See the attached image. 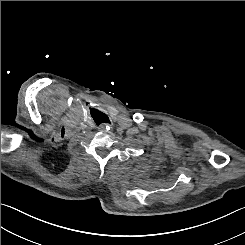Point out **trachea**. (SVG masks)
I'll use <instances>...</instances> for the list:
<instances>
[{
	"mask_svg": "<svg viewBox=\"0 0 245 245\" xmlns=\"http://www.w3.org/2000/svg\"><path fill=\"white\" fill-rule=\"evenodd\" d=\"M94 121L96 122L97 125H100L102 123H110L108 116L101 112L98 113V115H96Z\"/></svg>",
	"mask_w": 245,
	"mask_h": 245,
	"instance_id": "trachea-1",
	"label": "trachea"
}]
</instances>
